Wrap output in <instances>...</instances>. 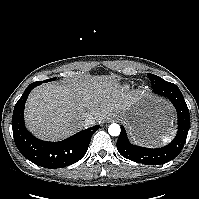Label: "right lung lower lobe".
I'll use <instances>...</instances> for the list:
<instances>
[{
	"label": "right lung lower lobe",
	"mask_w": 199,
	"mask_h": 199,
	"mask_svg": "<svg viewBox=\"0 0 199 199\" xmlns=\"http://www.w3.org/2000/svg\"><path fill=\"white\" fill-rule=\"evenodd\" d=\"M34 87L30 84L14 107L12 128L17 148L26 159L45 168H61L76 163L85 155L93 133L100 126L80 131L59 142L37 139L24 124V105Z\"/></svg>",
	"instance_id": "1"
}]
</instances>
